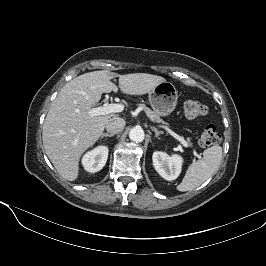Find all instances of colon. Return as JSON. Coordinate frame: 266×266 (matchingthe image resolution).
I'll return each mask as SVG.
<instances>
[{"label":"colon","mask_w":266,"mask_h":266,"mask_svg":"<svg viewBox=\"0 0 266 266\" xmlns=\"http://www.w3.org/2000/svg\"><path fill=\"white\" fill-rule=\"evenodd\" d=\"M184 113L189 119H197L207 113V107L199 101L187 100L184 103ZM220 134L214 125H207L199 135V144L202 147H209L220 142Z\"/></svg>","instance_id":"colon-1"}]
</instances>
